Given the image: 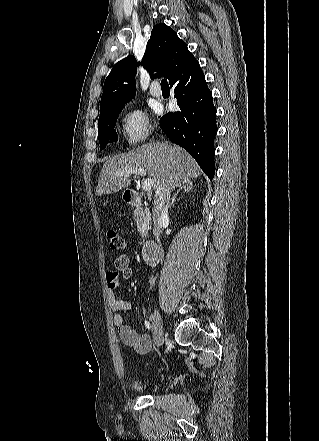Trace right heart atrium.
Instances as JSON below:
<instances>
[{
	"label": "right heart atrium",
	"mask_w": 319,
	"mask_h": 441,
	"mask_svg": "<svg viewBox=\"0 0 319 441\" xmlns=\"http://www.w3.org/2000/svg\"><path fill=\"white\" fill-rule=\"evenodd\" d=\"M121 129L125 143L135 146L147 139L151 132V124L142 109L134 108L122 116Z\"/></svg>",
	"instance_id": "d8ad5b80"
}]
</instances>
